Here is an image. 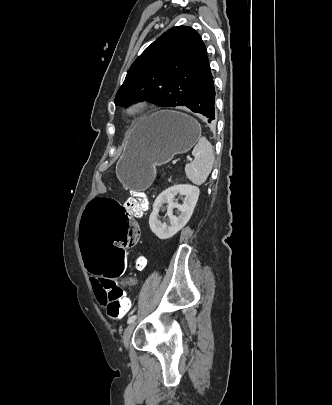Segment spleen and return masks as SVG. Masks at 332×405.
<instances>
[{"label": "spleen", "instance_id": "3e777b00", "mask_svg": "<svg viewBox=\"0 0 332 405\" xmlns=\"http://www.w3.org/2000/svg\"><path fill=\"white\" fill-rule=\"evenodd\" d=\"M192 155L194 156V160L186 164L185 173L192 183L201 185L207 180L213 168V146L207 138L201 137L192 150Z\"/></svg>", "mask_w": 332, "mask_h": 405}]
</instances>
